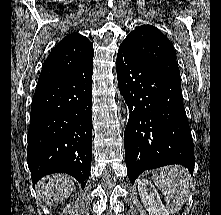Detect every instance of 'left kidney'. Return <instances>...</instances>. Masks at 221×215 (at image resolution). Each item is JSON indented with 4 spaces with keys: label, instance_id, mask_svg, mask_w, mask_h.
I'll use <instances>...</instances> for the list:
<instances>
[{
    "label": "left kidney",
    "instance_id": "5707ae66",
    "mask_svg": "<svg viewBox=\"0 0 221 215\" xmlns=\"http://www.w3.org/2000/svg\"><path fill=\"white\" fill-rule=\"evenodd\" d=\"M137 183L141 201L149 215H169L155 186L147 179H140Z\"/></svg>",
    "mask_w": 221,
    "mask_h": 215
}]
</instances>
